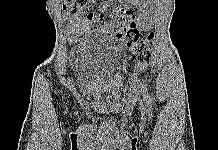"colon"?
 Wrapping results in <instances>:
<instances>
[{"label":"colon","mask_w":218,"mask_h":150,"mask_svg":"<svg viewBox=\"0 0 218 150\" xmlns=\"http://www.w3.org/2000/svg\"><path fill=\"white\" fill-rule=\"evenodd\" d=\"M86 0H68L66 8L74 11L79 5ZM129 44L133 47L137 59L144 63L149 59L150 52L154 46V33H150L147 38L141 39L138 30L131 31L127 36Z\"/></svg>","instance_id":"obj_1"}]
</instances>
